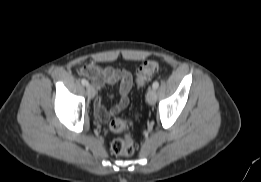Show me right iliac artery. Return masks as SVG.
<instances>
[{"mask_svg":"<svg viewBox=\"0 0 261 182\" xmlns=\"http://www.w3.org/2000/svg\"><path fill=\"white\" fill-rule=\"evenodd\" d=\"M81 83H82V85H84V86H88V85H89V83H88V81H87L86 79H82V80H81Z\"/></svg>","mask_w":261,"mask_h":182,"instance_id":"right-iliac-artery-1","label":"right iliac artery"}]
</instances>
